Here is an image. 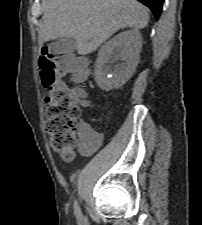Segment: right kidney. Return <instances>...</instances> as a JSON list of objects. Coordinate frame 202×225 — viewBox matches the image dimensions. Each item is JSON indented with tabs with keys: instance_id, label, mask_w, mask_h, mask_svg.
<instances>
[{
	"instance_id": "right-kidney-1",
	"label": "right kidney",
	"mask_w": 202,
	"mask_h": 225,
	"mask_svg": "<svg viewBox=\"0 0 202 225\" xmlns=\"http://www.w3.org/2000/svg\"><path fill=\"white\" fill-rule=\"evenodd\" d=\"M142 35L136 29L124 31L106 42L98 52L95 81L105 91L124 85L139 63ZM118 61L116 65H112Z\"/></svg>"
}]
</instances>
